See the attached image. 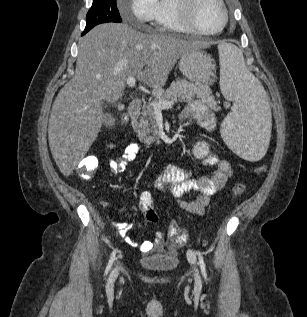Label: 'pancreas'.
Here are the masks:
<instances>
[{"instance_id": "1", "label": "pancreas", "mask_w": 307, "mask_h": 317, "mask_svg": "<svg viewBox=\"0 0 307 317\" xmlns=\"http://www.w3.org/2000/svg\"><path fill=\"white\" fill-rule=\"evenodd\" d=\"M157 102L173 100L174 102H190L195 98L204 99L208 89L200 83L180 79L171 83L166 91L156 89L154 91ZM154 108L144 105L142 111L132 117V127L139 140L145 144H152L159 139L158 127L154 120Z\"/></svg>"}]
</instances>
